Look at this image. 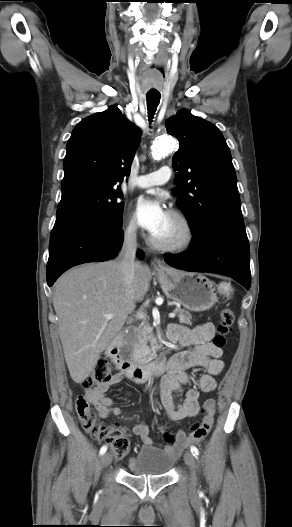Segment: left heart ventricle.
Masks as SVG:
<instances>
[{
	"label": "left heart ventricle",
	"instance_id": "left-heart-ventricle-1",
	"mask_svg": "<svg viewBox=\"0 0 292 527\" xmlns=\"http://www.w3.org/2000/svg\"><path fill=\"white\" fill-rule=\"evenodd\" d=\"M181 234V228L177 221L168 215V218L162 228L152 235L157 240L170 242L176 240Z\"/></svg>",
	"mask_w": 292,
	"mask_h": 527
}]
</instances>
